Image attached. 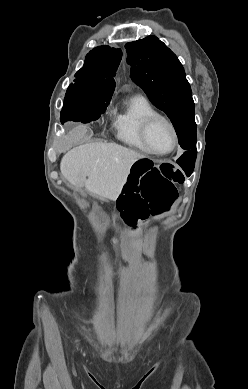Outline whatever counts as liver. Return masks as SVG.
I'll return each instance as SVG.
<instances>
[{
    "mask_svg": "<svg viewBox=\"0 0 248 389\" xmlns=\"http://www.w3.org/2000/svg\"><path fill=\"white\" fill-rule=\"evenodd\" d=\"M145 156L115 143H88L68 151L61 174L77 189L85 188L100 198L116 200L132 165Z\"/></svg>",
    "mask_w": 248,
    "mask_h": 389,
    "instance_id": "liver-1",
    "label": "liver"
}]
</instances>
